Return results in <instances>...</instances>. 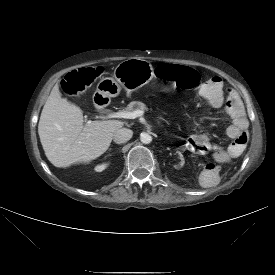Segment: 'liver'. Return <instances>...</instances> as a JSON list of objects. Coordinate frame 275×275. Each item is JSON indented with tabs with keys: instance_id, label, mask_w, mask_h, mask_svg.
<instances>
[{
	"instance_id": "6515ba94",
	"label": "liver",
	"mask_w": 275,
	"mask_h": 275,
	"mask_svg": "<svg viewBox=\"0 0 275 275\" xmlns=\"http://www.w3.org/2000/svg\"><path fill=\"white\" fill-rule=\"evenodd\" d=\"M74 103L62 98L57 83L41 112L38 134L47 159L58 168L88 163L107 151L119 120L88 121Z\"/></svg>"
}]
</instances>
